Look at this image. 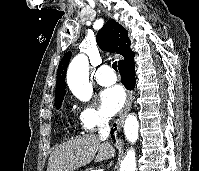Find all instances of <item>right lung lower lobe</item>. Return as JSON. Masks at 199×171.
Returning <instances> with one entry per match:
<instances>
[{
  "label": "right lung lower lobe",
  "instance_id": "right-lung-lower-lobe-1",
  "mask_svg": "<svg viewBox=\"0 0 199 171\" xmlns=\"http://www.w3.org/2000/svg\"><path fill=\"white\" fill-rule=\"evenodd\" d=\"M118 68L121 73L122 83L128 90H132L135 86V63L133 59L123 62L122 64L118 65ZM116 126V124H114ZM114 129L111 130V135L113 140L114 136Z\"/></svg>",
  "mask_w": 199,
  "mask_h": 171
}]
</instances>
